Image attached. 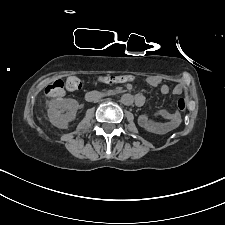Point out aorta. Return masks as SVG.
I'll list each match as a JSON object with an SVG mask.
<instances>
[{
    "label": "aorta",
    "mask_w": 225,
    "mask_h": 225,
    "mask_svg": "<svg viewBox=\"0 0 225 225\" xmlns=\"http://www.w3.org/2000/svg\"><path fill=\"white\" fill-rule=\"evenodd\" d=\"M121 103L124 105H131L133 103V96L131 94H123L120 99Z\"/></svg>",
    "instance_id": "aorta-1"
}]
</instances>
